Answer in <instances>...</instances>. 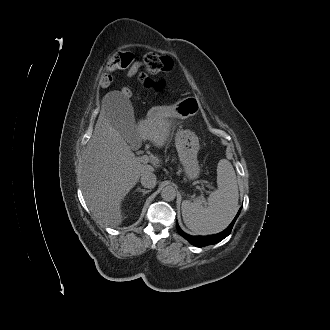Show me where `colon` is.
I'll use <instances>...</instances> for the list:
<instances>
[{
  "label": "colon",
  "instance_id": "colon-1",
  "mask_svg": "<svg viewBox=\"0 0 330 330\" xmlns=\"http://www.w3.org/2000/svg\"><path fill=\"white\" fill-rule=\"evenodd\" d=\"M133 63V56L129 52H119L115 54L107 63L106 69L102 75V80L111 82V73L128 68ZM144 71L138 76L139 81L144 88L150 90H159L163 87L164 81L153 78L155 75L168 72L173 68V60L169 56L158 54H147L142 61ZM124 96L129 97L132 92L129 88L121 90Z\"/></svg>",
  "mask_w": 330,
  "mask_h": 330
}]
</instances>
